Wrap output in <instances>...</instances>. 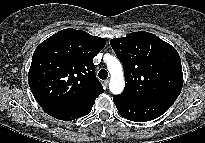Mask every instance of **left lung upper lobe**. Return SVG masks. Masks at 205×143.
<instances>
[{"mask_svg":"<svg viewBox=\"0 0 205 143\" xmlns=\"http://www.w3.org/2000/svg\"><path fill=\"white\" fill-rule=\"evenodd\" d=\"M123 64L125 100L145 102L177 98L183 86L181 59L174 47L149 32H133L110 40Z\"/></svg>","mask_w":205,"mask_h":143,"instance_id":"obj_1","label":"left lung upper lobe"}]
</instances>
